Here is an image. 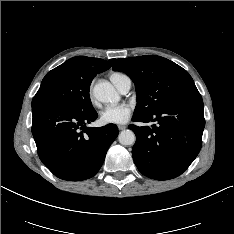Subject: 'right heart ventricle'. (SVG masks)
Returning a JSON list of instances; mask_svg holds the SVG:
<instances>
[{
	"label": "right heart ventricle",
	"mask_w": 234,
	"mask_h": 234,
	"mask_svg": "<svg viewBox=\"0 0 234 234\" xmlns=\"http://www.w3.org/2000/svg\"><path fill=\"white\" fill-rule=\"evenodd\" d=\"M110 80L118 89H120L122 85L130 79L122 72H113L110 74Z\"/></svg>",
	"instance_id": "e07e8e85"
}]
</instances>
